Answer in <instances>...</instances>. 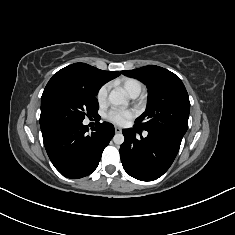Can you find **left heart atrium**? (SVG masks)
Returning a JSON list of instances; mask_svg holds the SVG:
<instances>
[{
	"label": "left heart atrium",
	"mask_w": 235,
	"mask_h": 235,
	"mask_svg": "<svg viewBox=\"0 0 235 235\" xmlns=\"http://www.w3.org/2000/svg\"><path fill=\"white\" fill-rule=\"evenodd\" d=\"M135 116L133 110L112 108L106 113V119L117 125H125Z\"/></svg>",
	"instance_id": "39dd6f15"
}]
</instances>
